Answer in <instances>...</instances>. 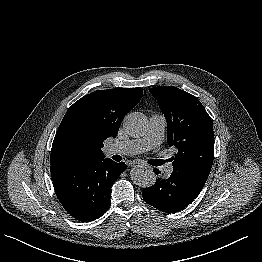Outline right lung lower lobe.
<instances>
[{"mask_svg": "<svg viewBox=\"0 0 262 262\" xmlns=\"http://www.w3.org/2000/svg\"><path fill=\"white\" fill-rule=\"evenodd\" d=\"M126 168L124 162L106 158L53 167L51 176L64 209L75 219L90 222L108 210L112 185Z\"/></svg>", "mask_w": 262, "mask_h": 262, "instance_id": "1", "label": "right lung lower lobe"}]
</instances>
